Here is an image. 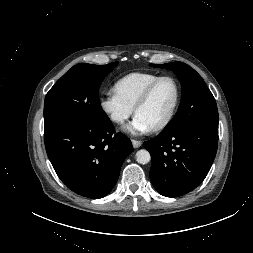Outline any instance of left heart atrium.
<instances>
[{"instance_id": "1", "label": "left heart atrium", "mask_w": 253, "mask_h": 253, "mask_svg": "<svg viewBox=\"0 0 253 253\" xmlns=\"http://www.w3.org/2000/svg\"><path fill=\"white\" fill-rule=\"evenodd\" d=\"M124 130L133 135H143L152 131V127L149 126L141 117L135 115L133 120L125 126Z\"/></svg>"}]
</instances>
